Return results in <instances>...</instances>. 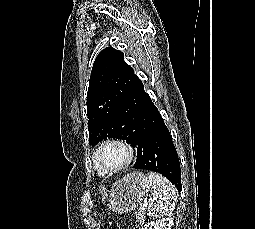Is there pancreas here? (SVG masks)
<instances>
[{"mask_svg": "<svg viewBox=\"0 0 255 229\" xmlns=\"http://www.w3.org/2000/svg\"><path fill=\"white\" fill-rule=\"evenodd\" d=\"M145 219H146V216H145V210L144 209L140 210L136 213V220L140 225H142L144 223Z\"/></svg>", "mask_w": 255, "mask_h": 229, "instance_id": "obj_1", "label": "pancreas"}]
</instances>
